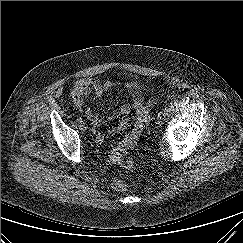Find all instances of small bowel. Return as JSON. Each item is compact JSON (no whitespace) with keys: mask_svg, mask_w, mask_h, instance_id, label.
I'll return each instance as SVG.
<instances>
[{"mask_svg":"<svg viewBox=\"0 0 243 243\" xmlns=\"http://www.w3.org/2000/svg\"><path fill=\"white\" fill-rule=\"evenodd\" d=\"M111 90L127 91L132 97V105H122L119 120L111 130L113 133H120L125 131L129 126L132 108H139L143 103V92L137 83L122 84L115 81L102 82L98 78L88 77L75 81L71 90V97L75 107L78 109L84 108L86 117L92 123L95 141L98 144L103 141V136L98 132V129L103 125L104 120L92 108L85 107V98L90 95L102 96Z\"/></svg>","mask_w":243,"mask_h":243,"instance_id":"small-bowel-1","label":"small bowel"}]
</instances>
